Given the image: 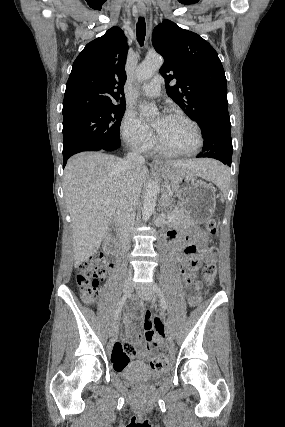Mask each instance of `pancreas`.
<instances>
[{
    "instance_id": "obj_1",
    "label": "pancreas",
    "mask_w": 285,
    "mask_h": 427,
    "mask_svg": "<svg viewBox=\"0 0 285 427\" xmlns=\"http://www.w3.org/2000/svg\"><path fill=\"white\" fill-rule=\"evenodd\" d=\"M167 214L169 223H179L186 219L184 210L172 204L169 205L167 209Z\"/></svg>"
}]
</instances>
